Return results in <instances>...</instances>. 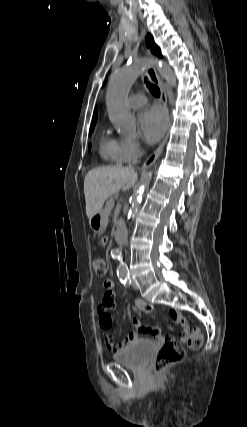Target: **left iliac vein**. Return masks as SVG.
Wrapping results in <instances>:
<instances>
[{
    "mask_svg": "<svg viewBox=\"0 0 247 427\" xmlns=\"http://www.w3.org/2000/svg\"><path fill=\"white\" fill-rule=\"evenodd\" d=\"M130 281H131L133 288L136 290L137 289V283L133 279H131Z\"/></svg>",
    "mask_w": 247,
    "mask_h": 427,
    "instance_id": "left-iliac-vein-1",
    "label": "left iliac vein"
}]
</instances>
